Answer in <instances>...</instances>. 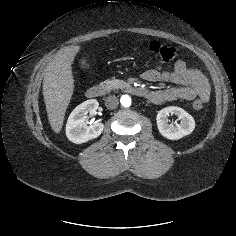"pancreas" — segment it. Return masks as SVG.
<instances>
[{
  "label": "pancreas",
  "mask_w": 236,
  "mask_h": 236,
  "mask_svg": "<svg viewBox=\"0 0 236 236\" xmlns=\"http://www.w3.org/2000/svg\"><path fill=\"white\" fill-rule=\"evenodd\" d=\"M103 86L108 92H110L111 90L126 88L128 84L123 80H119V79L109 80L108 79L103 82Z\"/></svg>",
  "instance_id": "cf45deb5"
}]
</instances>
